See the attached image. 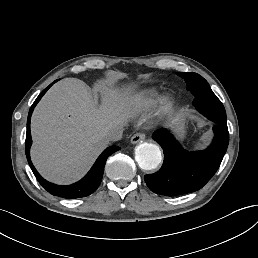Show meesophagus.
I'll list each match as a JSON object with an SVG mask.
<instances>
[{"label": "esophagus", "mask_w": 258, "mask_h": 258, "mask_svg": "<svg viewBox=\"0 0 258 258\" xmlns=\"http://www.w3.org/2000/svg\"><path fill=\"white\" fill-rule=\"evenodd\" d=\"M145 140V135L142 133H136L131 138V144H137Z\"/></svg>", "instance_id": "1"}]
</instances>
